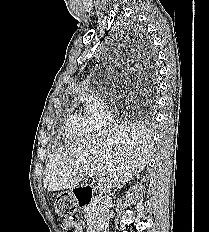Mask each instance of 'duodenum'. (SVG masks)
I'll return each instance as SVG.
<instances>
[{"label": "duodenum", "instance_id": "410a0bca", "mask_svg": "<svg viewBox=\"0 0 209 232\" xmlns=\"http://www.w3.org/2000/svg\"><path fill=\"white\" fill-rule=\"evenodd\" d=\"M74 194L81 208L87 207L95 202L93 190L90 186L87 185L77 186L74 189ZM88 232H98L97 225L96 224L91 225L89 227Z\"/></svg>", "mask_w": 209, "mask_h": 232}]
</instances>
